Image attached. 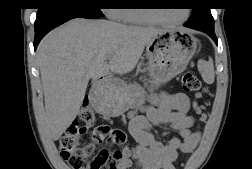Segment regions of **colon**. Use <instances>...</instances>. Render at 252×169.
Instances as JSON below:
<instances>
[{"label": "colon", "instance_id": "1", "mask_svg": "<svg viewBox=\"0 0 252 169\" xmlns=\"http://www.w3.org/2000/svg\"><path fill=\"white\" fill-rule=\"evenodd\" d=\"M182 87L187 92H198L201 82L193 71H186L182 76ZM197 98H201L197 94ZM83 125H70L59 140L62 158L72 169H113L115 158L108 148L100 149L94 154V146L82 143V137L88 127L95 123V114L89 105H83L79 113ZM94 136L110 144H124L125 137L120 129L109 125H100L94 131Z\"/></svg>", "mask_w": 252, "mask_h": 169}]
</instances>
